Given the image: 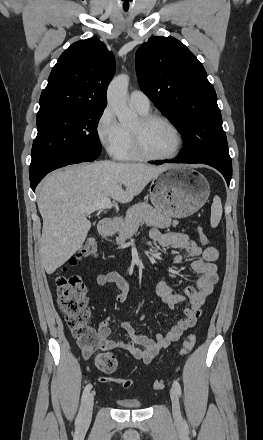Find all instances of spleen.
Instances as JSON below:
<instances>
[{
	"instance_id": "1",
	"label": "spleen",
	"mask_w": 263,
	"mask_h": 440,
	"mask_svg": "<svg viewBox=\"0 0 263 440\" xmlns=\"http://www.w3.org/2000/svg\"><path fill=\"white\" fill-rule=\"evenodd\" d=\"M222 203L219 196H215L213 198V203L211 205V217H210V224L212 228H215L218 226L221 217H222Z\"/></svg>"
}]
</instances>
